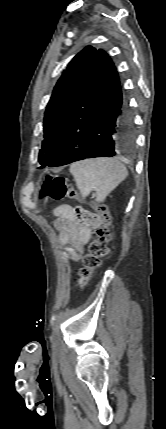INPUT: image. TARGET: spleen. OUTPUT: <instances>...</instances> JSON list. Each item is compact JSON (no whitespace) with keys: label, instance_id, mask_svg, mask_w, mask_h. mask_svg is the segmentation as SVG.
Here are the masks:
<instances>
[{"label":"spleen","instance_id":"3e777b00","mask_svg":"<svg viewBox=\"0 0 166 429\" xmlns=\"http://www.w3.org/2000/svg\"><path fill=\"white\" fill-rule=\"evenodd\" d=\"M70 173L82 197L95 190L98 202H103L128 175L125 165L111 158L75 162L70 166Z\"/></svg>","mask_w":166,"mask_h":429}]
</instances>
